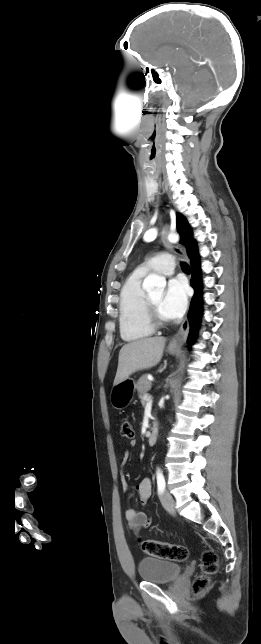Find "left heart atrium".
<instances>
[{"label": "left heart atrium", "mask_w": 261, "mask_h": 644, "mask_svg": "<svg viewBox=\"0 0 261 644\" xmlns=\"http://www.w3.org/2000/svg\"><path fill=\"white\" fill-rule=\"evenodd\" d=\"M187 306V291L184 282L172 278L167 284L161 302V310L167 319H176L182 316Z\"/></svg>", "instance_id": "left-heart-atrium-1"}]
</instances>
